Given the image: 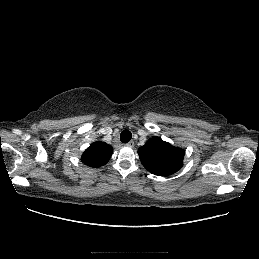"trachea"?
Masks as SVG:
<instances>
[{"mask_svg": "<svg viewBox=\"0 0 259 259\" xmlns=\"http://www.w3.org/2000/svg\"><path fill=\"white\" fill-rule=\"evenodd\" d=\"M132 138V134L129 130H124L120 134V140L122 143H128Z\"/></svg>", "mask_w": 259, "mask_h": 259, "instance_id": "3493384b", "label": "trachea"}]
</instances>
